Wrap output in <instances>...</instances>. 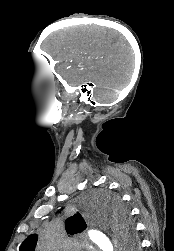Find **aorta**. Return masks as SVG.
<instances>
[{
    "mask_svg": "<svg viewBox=\"0 0 174 251\" xmlns=\"http://www.w3.org/2000/svg\"><path fill=\"white\" fill-rule=\"evenodd\" d=\"M97 213L94 208L89 210L88 220L91 224L88 231L89 238L103 251H133L135 247L124 238L123 232L115 226L111 217L93 215ZM111 229L114 238L113 243L103 234L102 230ZM41 249L43 251H54L64 245L62 230L56 225H49L41 234Z\"/></svg>",
    "mask_w": 174,
    "mask_h": 251,
    "instance_id": "aorta-1",
    "label": "aorta"
}]
</instances>
